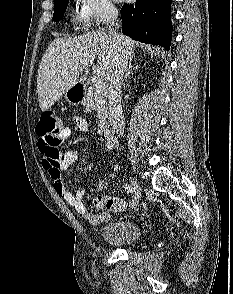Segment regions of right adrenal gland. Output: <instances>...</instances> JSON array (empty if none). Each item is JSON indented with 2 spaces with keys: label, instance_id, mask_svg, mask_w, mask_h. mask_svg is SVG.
Returning <instances> with one entry per match:
<instances>
[{
  "label": "right adrenal gland",
  "instance_id": "1",
  "mask_svg": "<svg viewBox=\"0 0 233 294\" xmlns=\"http://www.w3.org/2000/svg\"><path fill=\"white\" fill-rule=\"evenodd\" d=\"M133 56L129 58V64H128V68H127V71H126V74H125V78H127L130 74H132V70L133 69H137L138 66L136 67H132V61H133Z\"/></svg>",
  "mask_w": 233,
  "mask_h": 294
}]
</instances>
